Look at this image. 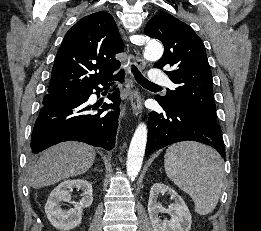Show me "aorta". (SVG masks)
<instances>
[{
  "label": "aorta",
  "instance_id": "aorta-1",
  "mask_svg": "<svg viewBox=\"0 0 261 231\" xmlns=\"http://www.w3.org/2000/svg\"><path fill=\"white\" fill-rule=\"evenodd\" d=\"M163 55V46L158 42H149L144 51V58L148 61H157ZM147 142V127L140 123L132 137L127 156V175L132 180L140 172Z\"/></svg>",
  "mask_w": 261,
  "mask_h": 231
}]
</instances>
